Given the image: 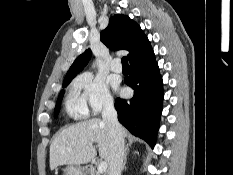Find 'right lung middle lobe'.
Listing matches in <instances>:
<instances>
[{"instance_id": "1", "label": "right lung middle lobe", "mask_w": 233, "mask_h": 175, "mask_svg": "<svg viewBox=\"0 0 233 175\" xmlns=\"http://www.w3.org/2000/svg\"><path fill=\"white\" fill-rule=\"evenodd\" d=\"M71 80H67V81H64L63 82V88H65L66 86H68V84L70 83ZM63 94H64V90H62L59 94V97H58V100H57V103H56V107H55V112L54 114L55 115H58L59 113V108H60V103H61V100L63 98Z\"/></svg>"}]
</instances>
